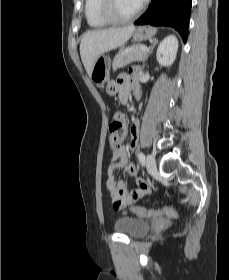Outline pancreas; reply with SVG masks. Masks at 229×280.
<instances>
[{
    "label": "pancreas",
    "mask_w": 229,
    "mask_h": 280,
    "mask_svg": "<svg viewBox=\"0 0 229 280\" xmlns=\"http://www.w3.org/2000/svg\"><path fill=\"white\" fill-rule=\"evenodd\" d=\"M141 45H134L120 51L113 59V69L124 67L134 61H144L147 57L146 52H141Z\"/></svg>",
    "instance_id": "pancreas-1"
}]
</instances>
